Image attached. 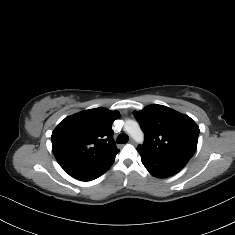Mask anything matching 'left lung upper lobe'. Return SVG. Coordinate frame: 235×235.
Instances as JSON below:
<instances>
[{
	"label": "left lung upper lobe",
	"instance_id": "obj_1",
	"mask_svg": "<svg viewBox=\"0 0 235 235\" xmlns=\"http://www.w3.org/2000/svg\"><path fill=\"white\" fill-rule=\"evenodd\" d=\"M145 134L139 153L187 164L194 155L199 127L189 116L169 107L150 105L134 112Z\"/></svg>",
	"mask_w": 235,
	"mask_h": 235
}]
</instances>
